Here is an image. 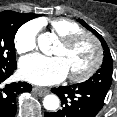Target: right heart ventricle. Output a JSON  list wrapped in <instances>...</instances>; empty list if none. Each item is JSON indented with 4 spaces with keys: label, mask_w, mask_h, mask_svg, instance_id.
Returning a JSON list of instances; mask_svg holds the SVG:
<instances>
[{
    "label": "right heart ventricle",
    "mask_w": 117,
    "mask_h": 117,
    "mask_svg": "<svg viewBox=\"0 0 117 117\" xmlns=\"http://www.w3.org/2000/svg\"><path fill=\"white\" fill-rule=\"evenodd\" d=\"M49 27L58 37L63 38L70 34L83 32V29L72 20L57 18L49 21Z\"/></svg>",
    "instance_id": "e07e8e85"
}]
</instances>
